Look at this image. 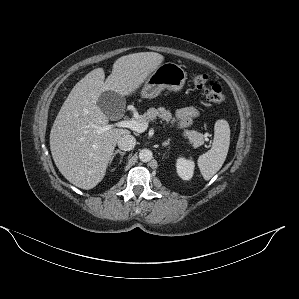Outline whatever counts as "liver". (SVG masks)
<instances>
[{"instance_id": "6515ba94", "label": "liver", "mask_w": 299, "mask_h": 299, "mask_svg": "<svg viewBox=\"0 0 299 299\" xmlns=\"http://www.w3.org/2000/svg\"><path fill=\"white\" fill-rule=\"evenodd\" d=\"M156 52H141L118 58L105 80L103 68L89 72L71 90L50 132V150L61 174L81 189H92L102 181L115 145L126 129L111 128L97 105L105 91L130 96L163 62Z\"/></svg>"}]
</instances>
